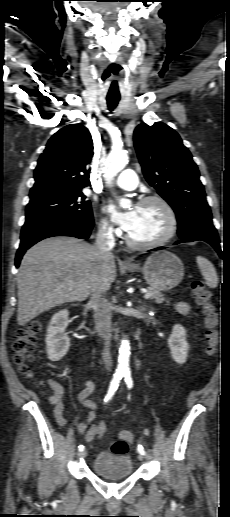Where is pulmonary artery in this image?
<instances>
[{"label":"pulmonary artery","instance_id":"1","mask_svg":"<svg viewBox=\"0 0 230 517\" xmlns=\"http://www.w3.org/2000/svg\"><path fill=\"white\" fill-rule=\"evenodd\" d=\"M138 179L136 173L131 169L121 172L115 180V185L124 190H134L137 187Z\"/></svg>","mask_w":230,"mask_h":517}]
</instances>
